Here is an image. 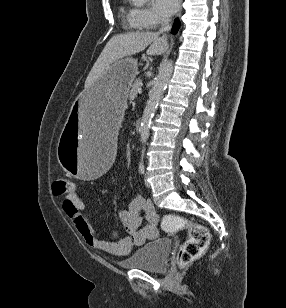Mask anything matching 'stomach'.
Wrapping results in <instances>:
<instances>
[{
	"instance_id": "1",
	"label": "stomach",
	"mask_w": 286,
	"mask_h": 308,
	"mask_svg": "<svg viewBox=\"0 0 286 308\" xmlns=\"http://www.w3.org/2000/svg\"><path fill=\"white\" fill-rule=\"evenodd\" d=\"M137 74V60L117 61L74 100L71 118H63L64 137L56 142L57 159L78 182H99L116 159L112 132L121 125L122 110Z\"/></svg>"
}]
</instances>
